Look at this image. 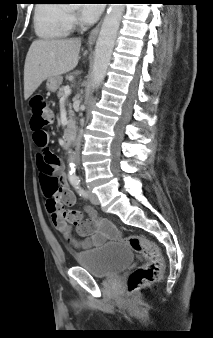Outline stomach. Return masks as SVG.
<instances>
[{"instance_id":"1","label":"stomach","mask_w":213,"mask_h":338,"mask_svg":"<svg viewBox=\"0 0 213 338\" xmlns=\"http://www.w3.org/2000/svg\"><path fill=\"white\" fill-rule=\"evenodd\" d=\"M62 83V76H52L47 79L46 87L50 92H55Z\"/></svg>"}]
</instances>
